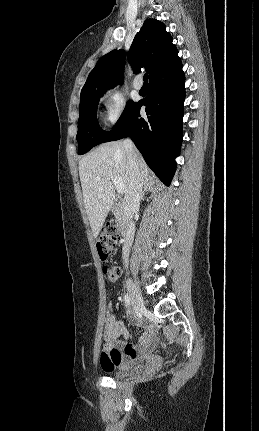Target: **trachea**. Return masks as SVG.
<instances>
[{
	"label": "trachea",
	"instance_id": "3493384b",
	"mask_svg": "<svg viewBox=\"0 0 259 431\" xmlns=\"http://www.w3.org/2000/svg\"><path fill=\"white\" fill-rule=\"evenodd\" d=\"M143 80H144V83L146 84V83H147V81H148V74H145V75H144Z\"/></svg>",
	"mask_w": 259,
	"mask_h": 431
}]
</instances>
